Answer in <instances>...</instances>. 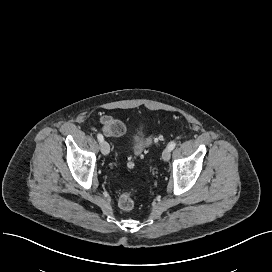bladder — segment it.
<instances>
[{
    "label": "bladder",
    "mask_w": 272,
    "mask_h": 272,
    "mask_svg": "<svg viewBox=\"0 0 272 272\" xmlns=\"http://www.w3.org/2000/svg\"><path fill=\"white\" fill-rule=\"evenodd\" d=\"M141 129L139 127H136L134 130H133V133H132V138H133V141L137 142L140 140L141 138Z\"/></svg>",
    "instance_id": "1"
}]
</instances>
